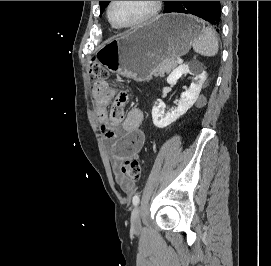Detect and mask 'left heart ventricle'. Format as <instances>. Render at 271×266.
Instances as JSON below:
<instances>
[{"instance_id": "b2bd125f", "label": "left heart ventricle", "mask_w": 271, "mask_h": 266, "mask_svg": "<svg viewBox=\"0 0 271 266\" xmlns=\"http://www.w3.org/2000/svg\"><path fill=\"white\" fill-rule=\"evenodd\" d=\"M150 7V1H115L111 9V16L115 23L127 25L144 17Z\"/></svg>"}]
</instances>
